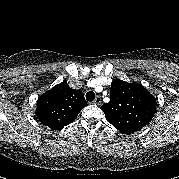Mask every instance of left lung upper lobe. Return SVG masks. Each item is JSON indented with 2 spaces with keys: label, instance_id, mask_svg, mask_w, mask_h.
<instances>
[{
  "label": "left lung upper lobe",
  "instance_id": "1",
  "mask_svg": "<svg viewBox=\"0 0 179 179\" xmlns=\"http://www.w3.org/2000/svg\"><path fill=\"white\" fill-rule=\"evenodd\" d=\"M156 98L141 84L114 79L110 102L102 105L107 121L124 134L141 130L151 122L156 111Z\"/></svg>",
  "mask_w": 179,
  "mask_h": 179
}]
</instances>
